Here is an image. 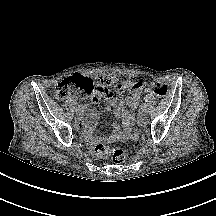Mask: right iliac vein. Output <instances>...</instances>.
Listing matches in <instances>:
<instances>
[{
    "label": "right iliac vein",
    "instance_id": "right-iliac-vein-1",
    "mask_svg": "<svg viewBox=\"0 0 216 216\" xmlns=\"http://www.w3.org/2000/svg\"><path fill=\"white\" fill-rule=\"evenodd\" d=\"M82 116H83V112H81V113H78V112H77L76 119H77V120H80V119L82 118Z\"/></svg>",
    "mask_w": 216,
    "mask_h": 216
}]
</instances>
